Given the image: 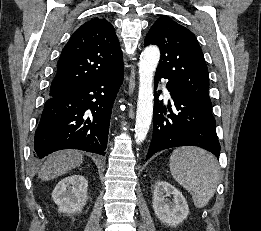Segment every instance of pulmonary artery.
<instances>
[{"instance_id":"pulmonary-artery-1","label":"pulmonary artery","mask_w":261,"mask_h":231,"mask_svg":"<svg viewBox=\"0 0 261 231\" xmlns=\"http://www.w3.org/2000/svg\"><path fill=\"white\" fill-rule=\"evenodd\" d=\"M163 88H164V92L166 94L167 97H170V93L169 91L165 88V86L163 85Z\"/></svg>"}]
</instances>
